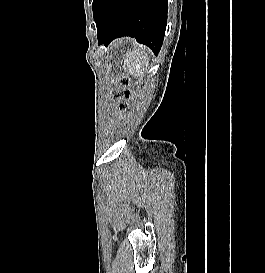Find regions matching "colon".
<instances>
[{"mask_svg":"<svg viewBox=\"0 0 265 273\" xmlns=\"http://www.w3.org/2000/svg\"><path fill=\"white\" fill-rule=\"evenodd\" d=\"M118 83L120 84L121 88L113 93V97L119 100L115 108L119 112H125L127 105L124 100L129 97V92L125 89V87L128 85L129 79L127 77H121L118 79Z\"/></svg>","mask_w":265,"mask_h":273,"instance_id":"5ec220e1","label":"colon"}]
</instances>
